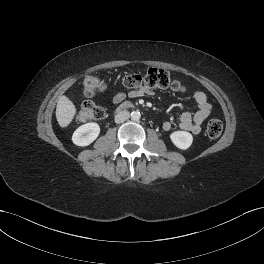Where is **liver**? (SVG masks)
<instances>
[{
    "label": "liver",
    "mask_w": 264,
    "mask_h": 264,
    "mask_svg": "<svg viewBox=\"0 0 264 264\" xmlns=\"http://www.w3.org/2000/svg\"><path fill=\"white\" fill-rule=\"evenodd\" d=\"M76 114L74 103L65 95L58 99L56 106V119L61 127H67Z\"/></svg>",
    "instance_id": "6515ba94"
}]
</instances>
